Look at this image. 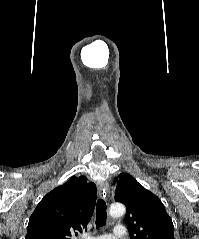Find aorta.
<instances>
[{"label":"aorta","instance_id":"obj_1","mask_svg":"<svg viewBox=\"0 0 199 239\" xmlns=\"http://www.w3.org/2000/svg\"><path fill=\"white\" fill-rule=\"evenodd\" d=\"M125 212H126V208L121 203H114L111 205L109 209V214L114 218L123 216Z\"/></svg>","mask_w":199,"mask_h":239}]
</instances>
